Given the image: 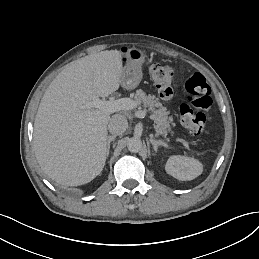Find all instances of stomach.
I'll return each mask as SVG.
<instances>
[{
	"instance_id": "0dacf381",
	"label": "stomach",
	"mask_w": 259,
	"mask_h": 259,
	"mask_svg": "<svg viewBox=\"0 0 259 259\" xmlns=\"http://www.w3.org/2000/svg\"><path fill=\"white\" fill-rule=\"evenodd\" d=\"M127 63L122 70L121 82L124 87L129 89L137 88L142 81V65L145 62V51L132 47L127 51Z\"/></svg>"
}]
</instances>
